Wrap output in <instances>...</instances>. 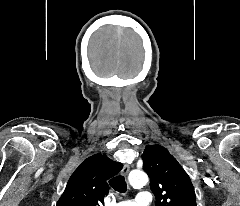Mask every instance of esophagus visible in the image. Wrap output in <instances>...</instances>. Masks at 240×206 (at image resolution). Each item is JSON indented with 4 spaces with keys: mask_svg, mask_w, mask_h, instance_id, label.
Masks as SVG:
<instances>
[{
    "mask_svg": "<svg viewBox=\"0 0 240 206\" xmlns=\"http://www.w3.org/2000/svg\"><path fill=\"white\" fill-rule=\"evenodd\" d=\"M129 170H130L129 165L125 164L122 169V175L127 176L129 173Z\"/></svg>",
    "mask_w": 240,
    "mask_h": 206,
    "instance_id": "34e87169",
    "label": "esophagus"
}]
</instances>
